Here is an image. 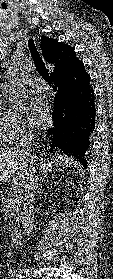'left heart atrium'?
<instances>
[{
	"mask_svg": "<svg viewBox=\"0 0 113 279\" xmlns=\"http://www.w3.org/2000/svg\"><path fill=\"white\" fill-rule=\"evenodd\" d=\"M50 113L49 105L41 98L34 101L29 110L31 121L38 127L45 126L49 122Z\"/></svg>",
	"mask_w": 113,
	"mask_h": 279,
	"instance_id": "1",
	"label": "left heart atrium"
}]
</instances>
